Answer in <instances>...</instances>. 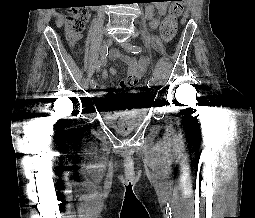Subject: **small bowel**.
Segmentation results:
<instances>
[{"mask_svg":"<svg viewBox=\"0 0 255 218\" xmlns=\"http://www.w3.org/2000/svg\"><path fill=\"white\" fill-rule=\"evenodd\" d=\"M157 11L158 17H154L153 12ZM167 12V3L166 0H156L153 1L149 6L146 7L145 15L149 20L150 27L152 29H156L160 23V17L164 16ZM111 58L119 60L124 63L128 67V79L122 80L119 82L120 87H124L126 85L136 86L139 81L142 79L146 67L148 65V58L143 57L139 60L130 58L118 50H113L111 52ZM108 75L107 71H104L103 77L106 78ZM109 75H111L114 79L117 77V72L115 69L111 68L109 70ZM101 88L104 89L105 86L102 84ZM120 93L118 91H107L101 94V97L104 99L103 103L100 104V107L105 111H109L112 104H122L120 101Z\"/></svg>","mask_w":255,"mask_h":218,"instance_id":"c3829d8e","label":"small bowel"}]
</instances>
